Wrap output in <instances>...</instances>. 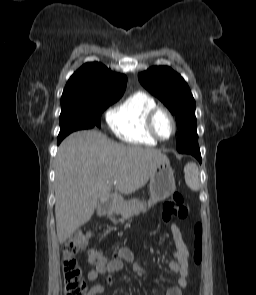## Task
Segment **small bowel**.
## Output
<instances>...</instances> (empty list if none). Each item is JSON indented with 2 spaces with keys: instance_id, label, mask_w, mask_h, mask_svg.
Returning a JSON list of instances; mask_svg holds the SVG:
<instances>
[{
  "instance_id": "small-bowel-1",
  "label": "small bowel",
  "mask_w": 256,
  "mask_h": 295,
  "mask_svg": "<svg viewBox=\"0 0 256 295\" xmlns=\"http://www.w3.org/2000/svg\"><path fill=\"white\" fill-rule=\"evenodd\" d=\"M172 238L175 244V250L172 253L173 260L168 262V268L178 274L177 285L169 288L166 295H182V290L187 287V277L189 273V250L187 243L183 238L180 228L173 224L171 226ZM134 263L132 252L127 247L118 248L108 261L104 260L94 265L93 269L87 274V279L90 282L105 274L106 284H95L90 288V295L102 293L112 283V273L120 271L123 268L124 262ZM135 270L142 276L147 277L145 270L139 263H134Z\"/></svg>"
}]
</instances>
